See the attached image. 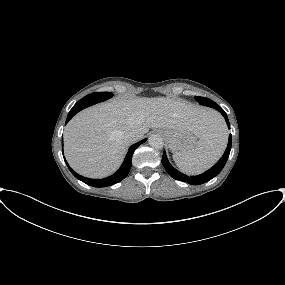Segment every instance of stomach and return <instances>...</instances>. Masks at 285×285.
<instances>
[{"label":"stomach","instance_id":"0dacf381","mask_svg":"<svg viewBox=\"0 0 285 285\" xmlns=\"http://www.w3.org/2000/svg\"><path fill=\"white\" fill-rule=\"evenodd\" d=\"M161 133L174 152L188 153L197 145V136L190 131L162 130Z\"/></svg>","mask_w":285,"mask_h":285}]
</instances>
